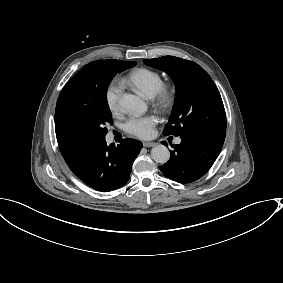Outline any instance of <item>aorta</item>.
I'll return each instance as SVG.
<instances>
[{
  "mask_svg": "<svg viewBox=\"0 0 283 283\" xmlns=\"http://www.w3.org/2000/svg\"><path fill=\"white\" fill-rule=\"evenodd\" d=\"M120 105L133 113L143 114L146 109V103L136 95L124 94L120 99ZM152 159L160 164H165L170 158V152L164 145L154 146L151 150Z\"/></svg>",
  "mask_w": 283,
  "mask_h": 283,
  "instance_id": "1",
  "label": "aorta"
}]
</instances>
